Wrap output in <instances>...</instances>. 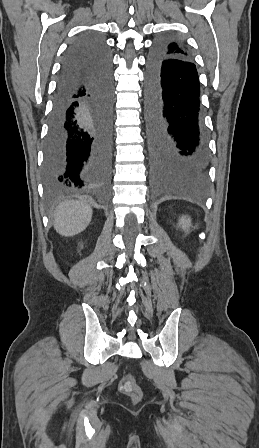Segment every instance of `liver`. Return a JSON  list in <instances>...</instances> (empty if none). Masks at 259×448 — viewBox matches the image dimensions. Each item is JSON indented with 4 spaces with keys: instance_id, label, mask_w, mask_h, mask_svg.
Segmentation results:
<instances>
[{
    "instance_id": "obj_1",
    "label": "liver",
    "mask_w": 259,
    "mask_h": 448,
    "mask_svg": "<svg viewBox=\"0 0 259 448\" xmlns=\"http://www.w3.org/2000/svg\"><path fill=\"white\" fill-rule=\"evenodd\" d=\"M54 228L61 236H75L86 230L92 218V208L82 202H63L55 214Z\"/></svg>"
}]
</instances>
